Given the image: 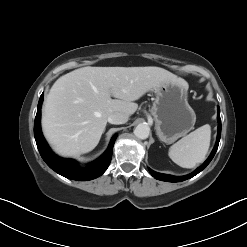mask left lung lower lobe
Masks as SVG:
<instances>
[{
	"instance_id": "1",
	"label": "left lung lower lobe",
	"mask_w": 247,
	"mask_h": 247,
	"mask_svg": "<svg viewBox=\"0 0 247 247\" xmlns=\"http://www.w3.org/2000/svg\"><path fill=\"white\" fill-rule=\"evenodd\" d=\"M218 134H217V140H216V144L215 147L213 149V151L211 152L209 158L203 163L202 166H200L199 168H197L194 172H192L189 175H185V176H172V175H167V174H161V173H157L151 169H149L150 173L152 174L153 177H155L158 180L161 181H167V182H181L184 180H187L189 178L194 177L195 175H197L199 172H201L203 169L206 168V166L210 163V161L213 159L218 145H219V141H220V137H221V119H220V108L218 107Z\"/></svg>"
}]
</instances>
